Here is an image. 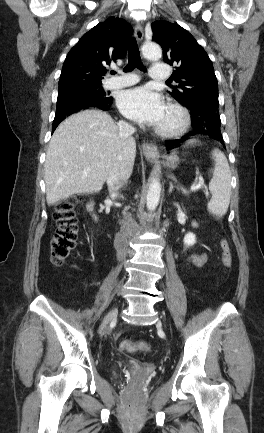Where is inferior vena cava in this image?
<instances>
[{"mask_svg": "<svg viewBox=\"0 0 264 433\" xmlns=\"http://www.w3.org/2000/svg\"><path fill=\"white\" fill-rule=\"evenodd\" d=\"M119 136L122 140H127L135 132V128L126 121L118 122ZM128 178L118 169L113 168L107 175V185L110 196L115 199L118 195V190L126 183Z\"/></svg>", "mask_w": 264, "mask_h": 433, "instance_id": "1", "label": "inferior vena cava"}]
</instances>
